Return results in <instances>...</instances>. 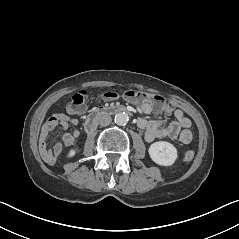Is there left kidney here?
<instances>
[{
  "label": "left kidney",
  "mask_w": 239,
  "mask_h": 239,
  "mask_svg": "<svg viewBox=\"0 0 239 239\" xmlns=\"http://www.w3.org/2000/svg\"><path fill=\"white\" fill-rule=\"evenodd\" d=\"M150 159L160 166H171L179 158L175 146L166 141H157L148 148Z\"/></svg>",
  "instance_id": "1"
}]
</instances>
